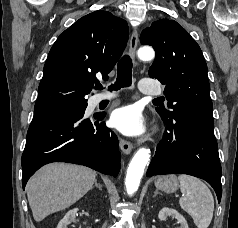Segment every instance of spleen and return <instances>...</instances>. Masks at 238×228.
Here are the masks:
<instances>
[{
    "instance_id": "spleen-1",
    "label": "spleen",
    "mask_w": 238,
    "mask_h": 228,
    "mask_svg": "<svg viewBox=\"0 0 238 228\" xmlns=\"http://www.w3.org/2000/svg\"><path fill=\"white\" fill-rule=\"evenodd\" d=\"M182 197L181 208L193 219L198 228H208L214 212V199L211 191L200 179L190 175H179Z\"/></svg>"
}]
</instances>
